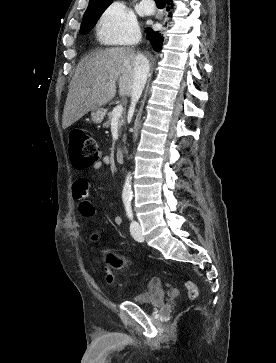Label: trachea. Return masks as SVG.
Instances as JSON below:
<instances>
[{"mask_svg": "<svg viewBox=\"0 0 276 363\" xmlns=\"http://www.w3.org/2000/svg\"><path fill=\"white\" fill-rule=\"evenodd\" d=\"M156 5L164 6L166 4V0H155Z\"/></svg>", "mask_w": 276, "mask_h": 363, "instance_id": "obj_1", "label": "trachea"}]
</instances>
